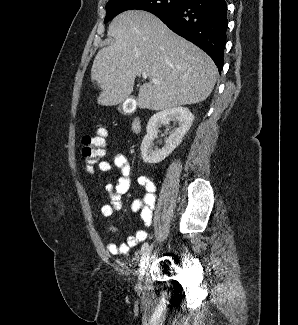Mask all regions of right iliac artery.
<instances>
[{
    "instance_id": "1",
    "label": "right iliac artery",
    "mask_w": 298,
    "mask_h": 325,
    "mask_svg": "<svg viewBox=\"0 0 298 325\" xmlns=\"http://www.w3.org/2000/svg\"><path fill=\"white\" fill-rule=\"evenodd\" d=\"M147 248H148V243H144L143 245H142V247H141V254H143L146 250H147Z\"/></svg>"
}]
</instances>
